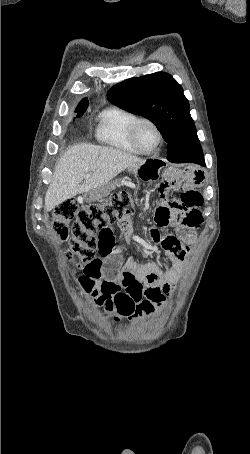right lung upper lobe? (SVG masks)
Wrapping results in <instances>:
<instances>
[{
	"label": "right lung upper lobe",
	"instance_id": "cb5924a9",
	"mask_svg": "<svg viewBox=\"0 0 250 454\" xmlns=\"http://www.w3.org/2000/svg\"><path fill=\"white\" fill-rule=\"evenodd\" d=\"M84 103H88V100L86 98L80 102V104H84Z\"/></svg>",
	"mask_w": 250,
	"mask_h": 454
}]
</instances>
